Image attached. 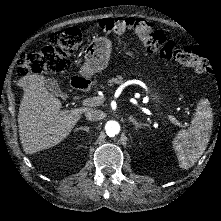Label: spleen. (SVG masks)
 I'll return each mask as SVG.
<instances>
[{"mask_svg": "<svg viewBox=\"0 0 221 221\" xmlns=\"http://www.w3.org/2000/svg\"><path fill=\"white\" fill-rule=\"evenodd\" d=\"M213 127V113L208 100H201L189 128L181 129L174 140L182 169L196 164L208 146Z\"/></svg>", "mask_w": 221, "mask_h": 221, "instance_id": "obj_1", "label": "spleen"}]
</instances>
